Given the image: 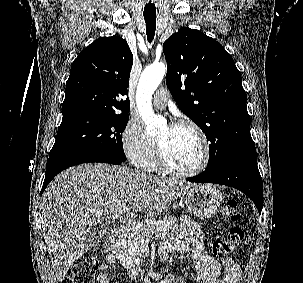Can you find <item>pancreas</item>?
Segmentation results:
<instances>
[{
	"mask_svg": "<svg viewBox=\"0 0 303 283\" xmlns=\"http://www.w3.org/2000/svg\"><path fill=\"white\" fill-rule=\"evenodd\" d=\"M159 222L165 224L132 223L125 227L115 245V253L126 269L140 265L143 245L149 241L151 234H155L157 238L166 239L177 229L178 221L174 216L165 217Z\"/></svg>",
	"mask_w": 303,
	"mask_h": 283,
	"instance_id": "1",
	"label": "pancreas"
}]
</instances>
